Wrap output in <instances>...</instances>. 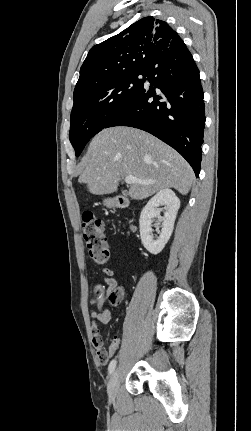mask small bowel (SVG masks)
<instances>
[{"instance_id":"c3829d8e","label":"small bowel","mask_w":251,"mask_h":431,"mask_svg":"<svg viewBox=\"0 0 251 431\" xmlns=\"http://www.w3.org/2000/svg\"><path fill=\"white\" fill-rule=\"evenodd\" d=\"M115 272L111 268L103 269V280L107 285V293L110 295L117 288V280L115 279ZM90 303L96 306V310L91 313V333L93 345L96 349L95 357L98 359V367L105 369L109 363L108 352L109 349L103 348V339L99 332V325L106 324L111 319V311L106 306V298L100 296L91 298Z\"/></svg>"}]
</instances>
